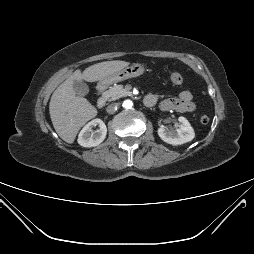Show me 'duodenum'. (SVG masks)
I'll return each mask as SVG.
<instances>
[{
	"label": "duodenum",
	"mask_w": 254,
	"mask_h": 254,
	"mask_svg": "<svg viewBox=\"0 0 254 254\" xmlns=\"http://www.w3.org/2000/svg\"><path fill=\"white\" fill-rule=\"evenodd\" d=\"M103 92H104V88L100 87L98 89V95L99 96H98V99H97V107L98 108H103L106 104V97L104 96ZM144 104L148 107H151V106H153V101L150 98L146 97L144 99Z\"/></svg>",
	"instance_id": "1"
}]
</instances>
